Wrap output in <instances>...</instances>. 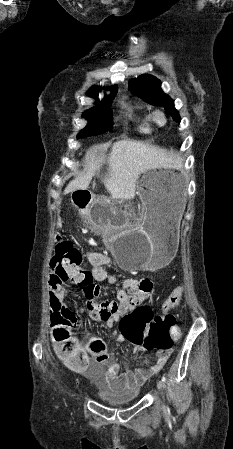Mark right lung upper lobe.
<instances>
[{
	"label": "right lung upper lobe",
	"instance_id": "cb5924a9",
	"mask_svg": "<svg viewBox=\"0 0 233 449\" xmlns=\"http://www.w3.org/2000/svg\"><path fill=\"white\" fill-rule=\"evenodd\" d=\"M101 89H102L101 87L92 86L86 94L91 97H96L98 95L99 91H101ZM110 90H111L110 95L117 93V91H118L117 85L110 87ZM110 95H105V97H108Z\"/></svg>",
	"mask_w": 233,
	"mask_h": 449
}]
</instances>
